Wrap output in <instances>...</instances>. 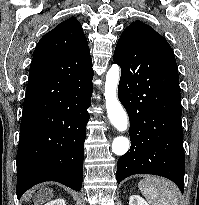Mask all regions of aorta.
Returning a JSON list of instances; mask_svg holds the SVG:
<instances>
[{"label":"aorta","mask_w":199,"mask_h":205,"mask_svg":"<svg viewBox=\"0 0 199 205\" xmlns=\"http://www.w3.org/2000/svg\"><path fill=\"white\" fill-rule=\"evenodd\" d=\"M119 79L120 68L117 64H113L106 74L104 97L111 124L118 131L124 132L128 129V117L117 97ZM129 145L128 138L116 137L112 142V151L116 155H124L128 151Z\"/></svg>","instance_id":"aorta-1"}]
</instances>
